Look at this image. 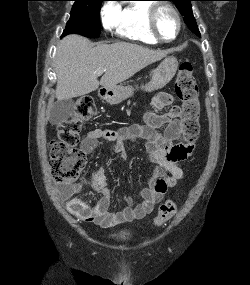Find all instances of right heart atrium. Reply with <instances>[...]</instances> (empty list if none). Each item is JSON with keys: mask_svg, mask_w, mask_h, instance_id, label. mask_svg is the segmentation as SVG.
<instances>
[{"mask_svg": "<svg viewBox=\"0 0 250 285\" xmlns=\"http://www.w3.org/2000/svg\"><path fill=\"white\" fill-rule=\"evenodd\" d=\"M100 14L102 25L106 30L111 31L117 28L120 6L116 2H106L101 7Z\"/></svg>", "mask_w": 250, "mask_h": 285, "instance_id": "1", "label": "right heart atrium"}]
</instances>
